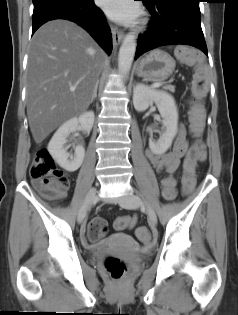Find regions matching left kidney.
Listing matches in <instances>:
<instances>
[{"mask_svg":"<svg viewBox=\"0 0 238 315\" xmlns=\"http://www.w3.org/2000/svg\"><path fill=\"white\" fill-rule=\"evenodd\" d=\"M153 102L163 119V132L157 141L149 140V147L154 154L162 155L169 149L177 133L178 111L175 100L169 93L144 84L134 87L133 104L137 111H145Z\"/></svg>","mask_w":238,"mask_h":315,"instance_id":"obj_1","label":"left kidney"}]
</instances>
